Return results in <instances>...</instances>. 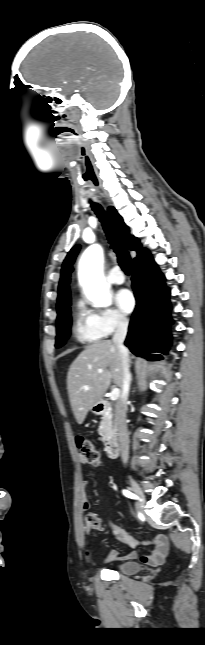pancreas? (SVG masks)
<instances>
[{"label":"pancreas","mask_w":205,"mask_h":645,"mask_svg":"<svg viewBox=\"0 0 205 645\" xmlns=\"http://www.w3.org/2000/svg\"><path fill=\"white\" fill-rule=\"evenodd\" d=\"M107 413L101 418V423L99 427V434L103 443L110 441L115 436V426L113 420V414L111 413V405L108 404Z\"/></svg>","instance_id":"pancreas-1"}]
</instances>
